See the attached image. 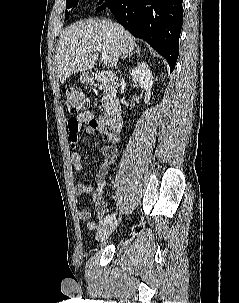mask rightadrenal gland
I'll return each mask as SVG.
<instances>
[{
  "instance_id": "right-adrenal-gland-1",
  "label": "right adrenal gland",
  "mask_w": 239,
  "mask_h": 303,
  "mask_svg": "<svg viewBox=\"0 0 239 303\" xmlns=\"http://www.w3.org/2000/svg\"><path fill=\"white\" fill-rule=\"evenodd\" d=\"M133 54H137L138 56H140V49L137 47L132 53H129L127 55H124L122 57V59H125V58H130Z\"/></svg>"
}]
</instances>
